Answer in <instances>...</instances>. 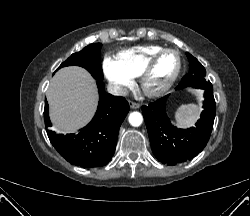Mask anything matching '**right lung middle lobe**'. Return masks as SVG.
I'll return each instance as SVG.
<instances>
[{
    "label": "right lung middle lobe",
    "mask_w": 250,
    "mask_h": 216,
    "mask_svg": "<svg viewBox=\"0 0 250 216\" xmlns=\"http://www.w3.org/2000/svg\"><path fill=\"white\" fill-rule=\"evenodd\" d=\"M102 44H90L83 48L80 52L72 54L59 68L78 65L88 70L93 78L102 80L103 71L100 63V49Z\"/></svg>",
    "instance_id": "1"
}]
</instances>
